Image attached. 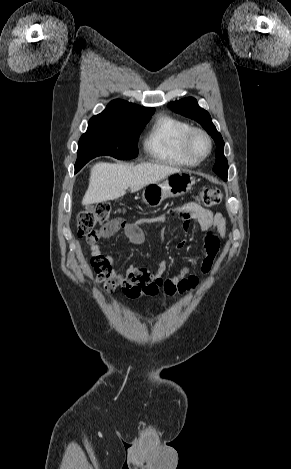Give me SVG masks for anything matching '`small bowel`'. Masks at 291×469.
Returning <instances> with one entry per match:
<instances>
[{"label": "small bowel", "instance_id": "obj_1", "mask_svg": "<svg viewBox=\"0 0 291 469\" xmlns=\"http://www.w3.org/2000/svg\"><path fill=\"white\" fill-rule=\"evenodd\" d=\"M175 212L183 221L185 231H188L191 223L196 221L201 229L207 232L204 242V257L200 263V271L202 274H208L213 267L215 257L218 253L220 239L226 236L225 217L220 213H213L194 202H189L178 207ZM165 219V214L149 218H140L132 223L122 218H116L107 224L104 237H109L122 230L133 245H140L145 239L142 226L150 223H163ZM176 247L178 249H184L186 247V240L181 239L176 244ZM90 250L92 258H99L108 265L105 270L101 272L96 271L97 281H104L105 288L108 291L120 287L123 294L129 299H135L144 295L154 296L159 290H162L167 295H173L175 293L185 294L194 290L199 283L198 276L190 274L187 266L183 267L177 275L170 278H163V274L166 270V264L164 262H160L153 272L131 265L125 272L120 273L113 268V258L109 255H104L97 242L90 243Z\"/></svg>", "mask_w": 291, "mask_h": 469}]
</instances>
